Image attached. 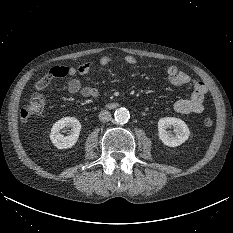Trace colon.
Segmentation results:
<instances>
[{"label": "colon", "mask_w": 233, "mask_h": 233, "mask_svg": "<svg viewBox=\"0 0 233 233\" xmlns=\"http://www.w3.org/2000/svg\"><path fill=\"white\" fill-rule=\"evenodd\" d=\"M45 108V100L43 96L39 94H33L24 105V107L20 111V118L23 121H27L31 117L40 116ZM203 124L206 127H211L213 125V119L210 117H206L203 120Z\"/></svg>", "instance_id": "obj_1"}]
</instances>
